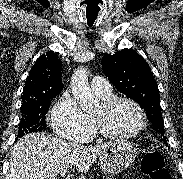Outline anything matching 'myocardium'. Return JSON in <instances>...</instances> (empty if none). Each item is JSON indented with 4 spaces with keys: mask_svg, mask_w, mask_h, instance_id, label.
<instances>
[{
    "mask_svg": "<svg viewBox=\"0 0 183 179\" xmlns=\"http://www.w3.org/2000/svg\"><path fill=\"white\" fill-rule=\"evenodd\" d=\"M121 102H127V103L131 104L138 111V113L140 115V119H141L140 125L136 130H134L133 132H130V133H115V132H112L109 129H107L103 125L102 121L98 117L94 116L93 120H94L96 129L98 130V132L100 134H102L103 136H105L107 138H111V139L132 138V137L139 135L147 126V117H146L144 109L137 101H135L134 99H132L130 97H126V96L110 97L106 100H103L101 106L105 112H108Z\"/></svg>",
    "mask_w": 183,
    "mask_h": 179,
    "instance_id": "myocardium-1",
    "label": "myocardium"
}]
</instances>
